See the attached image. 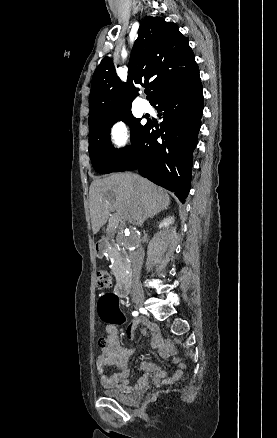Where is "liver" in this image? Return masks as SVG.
Returning a JSON list of instances; mask_svg holds the SVG:
<instances>
[{
	"label": "liver",
	"instance_id": "6515ba94",
	"mask_svg": "<svg viewBox=\"0 0 277 438\" xmlns=\"http://www.w3.org/2000/svg\"><path fill=\"white\" fill-rule=\"evenodd\" d=\"M89 196L93 234H98L107 224L111 210L116 212L121 224L141 226L143 216L153 218L170 206V196L165 190L130 172L94 180Z\"/></svg>",
	"mask_w": 277,
	"mask_h": 438
}]
</instances>
